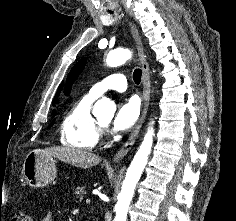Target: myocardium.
<instances>
[{
    "mask_svg": "<svg viewBox=\"0 0 236 221\" xmlns=\"http://www.w3.org/2000/svg\"><path fill=\"white\" fill-rule=\"evenodd\" d=\"M96 123H97V126H98L99 130H102V129L105 128V126L102 125L99 121H96Z\"/></svg>",
    "mask_w": 236,
    "mask_h": 221,
    "instance_id": "obj_1",
    "label": "myocardium"
}]
</instances>
